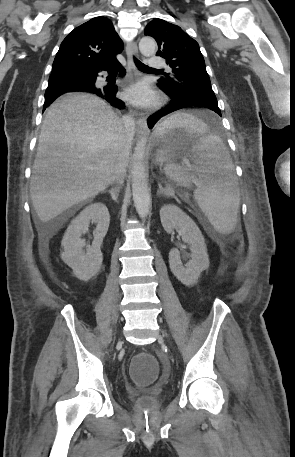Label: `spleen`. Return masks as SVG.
<instances>
[{
	"label": "spleen",
	"mask_w": 295,
	"mask_h": 457,
	"mask_svg": "<svg viewBox=\"0 0 295 457\" xmlns=\"http://www.w3.org/2000/svg\"><path fill=\"white\" fill-rule=\"evenodd\" d=\"M175 127L203 135L192 148L193 168L198 179L183 165L167 164L165 174L181 186L195 183L194 197L200 209L217 232L230 234L237 221L240 192L227 148L217 135L208 132L203 120L189 113L173 114L159 125L157 131L162 133Z\"/></svg>",
	"instance_id": "3e777b00"
}]
</instances>
